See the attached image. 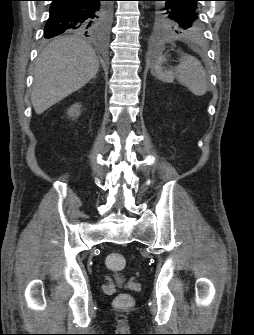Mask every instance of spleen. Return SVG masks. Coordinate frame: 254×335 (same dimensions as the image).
<instances>
[{"mask_svg": "<svg viewBox=\"0 0 254 335\" xmlns=\"http://www.w3.org/2000/svg\"><path fill=\"white\" fill-rule=\"evenodd\" d=\"M153 70L161 81L172 83L176 78L196 96L204 95L208 89L206 72L201 62L193 56L183 54L179 65L168 71L163 70L162 61L158 57L153 62Z\"/></svg>", "mask_w": 254, "mask_h": 335, "instance_id": "1", "label": "spleen"}]
</instances>
